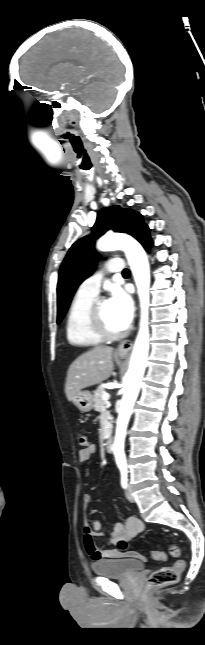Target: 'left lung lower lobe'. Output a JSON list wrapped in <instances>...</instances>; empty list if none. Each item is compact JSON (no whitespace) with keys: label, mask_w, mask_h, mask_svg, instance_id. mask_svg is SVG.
Returning a JSON list of instances; mask_svg holds the SVG:
<instances>
[{"label":"left lung lower lobe","mask_w":205,"mask_h":645,"mask_svg":"<svg viewBox=\"0 0 205 645\" xmlns=\"http://www.w3.org/2000/svg\"><path fill=\"white\" fill-rule=\"evenodd\" d=\"M140 243L143 245V247H144L147 251L149 250V248H150V247H151V245H152V240H151V238H150L149 231L145 234V236L142 238V240L140 241Z\"/></svg>","instance_id":"0a47b994"}]
</instances>
